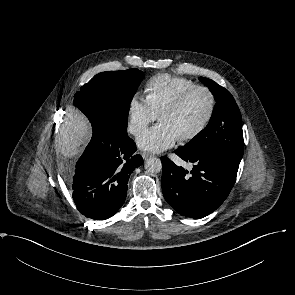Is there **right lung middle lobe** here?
Returning a JSON list of instances; mask_svg holds the SVG:
<instances>
[{
  "mask_svg": "<svg viewBox=\"0 0 295 295\" xmlns=\"http://www.w3.org/2000/svg\"><path fill=\"white\" fill-rule=\"evenodd\" d=\"M143 77L138 69L99 73L74 95L73 104L91 124L126 135L130 103Z\"/></svg>",
  "mask_w": 295,
  "mask_h": 295,
  "instance_id": "obj_1",
  "label": "right lung middle lobe"
}]
</instances>
